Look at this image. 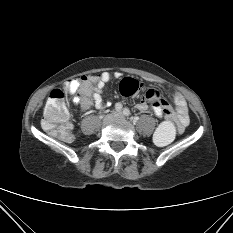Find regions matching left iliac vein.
Wrapping results in <instances>:
<instances>
[{
  "label": "left iliac vein",
  "mask_w": 233,
  "mask_h": 233,
  "mask_svg": "<svg viewBox=\"0 0 233 233\" xmlns=\"http://www.w3.org/2000/svg\"><path fill=\"white\" fill-rule=\"evenodd\" d=\"M117 117H122V114H120V113H119V114H117Z\"/></svg>",
  "instance_id": "left-iliac-vein-1"
}]
</instances>
